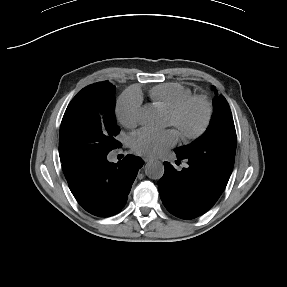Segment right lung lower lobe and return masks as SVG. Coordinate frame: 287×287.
I'll use <instances>...</instances> for the list:
<instances>
[{"label":"right lung lower lobe","instance_id":"1","mask_svg":"<svg viewBox=\"0 0 287 287\" xmlns=\"http://www.w3.org/2000/svg\"><path fill=\"white\" fill-rule=\"evenodd\" d=\"M107 154L84 163L66 176L77 202L99 217L121 211L138 170L143 166L140 157L127 155L115 164L107 160Z\"/></svg>","mask_w":287,"mask_h":287}]
</instances>
